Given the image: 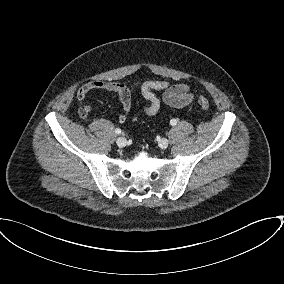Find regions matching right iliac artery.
Wrapping results in <instances>:
<instances>
[{"mask_svg": "<svg viewBox=\"0 0 284 284\" xmlns=\"http://www.w3.org/2000/svg\"><path fill=\"white\" fill-rule=\"evenodd\" d=\"M115 133H116V134H121V129L116 128V129H115Z\"/></svg>", "mask_w": 284, "mask_h": 284, "instance_id": "obj_1", "label": "right iliac artery"}]
</instances>
